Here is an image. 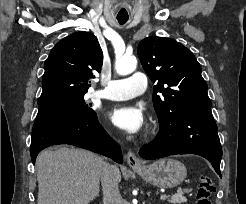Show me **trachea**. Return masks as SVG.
I'll list each match as a JSON object with an SVG mask.
<instances>
[{
  "instance_id": "obj_1",
  "label": "trachea",
  "mask_w": 246,
  "mask_h": 204,
  "mask_svg": "<svg viewBox=\"0 0 246 204\" xmlns=\"http://www.w3.org/2000/svg\"><path fill=\"white\" fill-rule=\"evenodd\" d=\"M118 22L123 25L127 22V19H118Z\"/></svg>"
}]
</instances>
